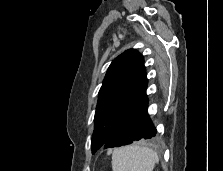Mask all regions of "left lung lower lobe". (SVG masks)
<instances>
[{"mask_svg": "<svg viewBox=\"0 0 223 171\" xmlns=\"http://www.w3.org/2000/svg\"><path fill=\"white\" fill-rule=\"evenodd\" d=\"M146 89L147 87L113 129L110 136L103 144L105 149L120 147L135 141L151 139L156 136L157 130L147 113L148 99Z\"/></svg>", "mask_w": 223, "mask_h": 171, "instance_id": "obj_1", "label": "left lung lower lobe"}]
</instances>
